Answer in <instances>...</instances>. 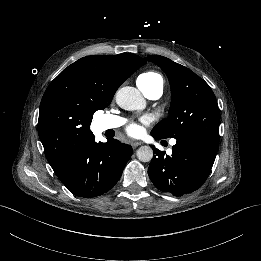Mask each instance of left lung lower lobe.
Listing matches in <instances>:
<instances>
[{
  "mask_svg": "<svg viewBox=\"0 0 261 261\" xmlns=\"http://www.w3.org/2000/svg\"><path fill=\"white\" fill-rule=\"evenodd\" d=\"M176 140L171 156L154 147L156 156L151 160L148 174L159 190L182 196L197 190L206 181L217 154L219 137L191 132Z\"/></svg>",
  "mask_w": 261,
  "mask_h": 261,
  "instance_id": "1",
  "label": "left lung lower lobe"
}]
</instances>
